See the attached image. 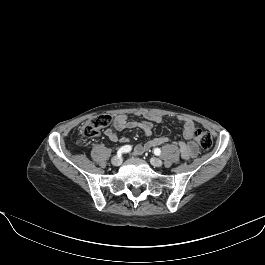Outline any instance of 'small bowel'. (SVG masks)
I'll list each match as a JSON object with an SVG mask.
<instances>
[{
  "label": "small bowel",
  "mask_w": 265,
  "mask_h": 265,
  "mask_svg": "<svg viewBox=\"0 0 265 265\" xmlns=\"http://www.w3.org/2000/svg\"><path fill=\"white\" fill-rule=\"evenodd\" d=\"M136 115L143 117V120H136L125 114L115 116L112 120L111 127L105 130V135L113 142L120 141L126 143L128 142V138L119 137L118 132L129 128H140L145 136H150L152 134L154 124L162 121V116L152 111H139ZM177 122L182 126V134L185 139V141H179L177 143L181 156L185 160H190L198 153V147L193 141L195 124L193 120L185 116L177 117ZM166 142H168V138L165 136L155 137L144 143L136 145L133 153L135 155H140L147 149L162 145Z\"/></svg>",
  "instance_id": "c3829d8e"
}]
</instances>
